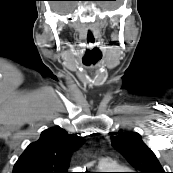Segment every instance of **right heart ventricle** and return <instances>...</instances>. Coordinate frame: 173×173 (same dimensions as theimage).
Listing matches in <instances>:
<instances>
[{
  "mask_svg": "<svg viewBox=\"0 0 173 173\" xmlns=\"http://www.w3.org/2000/svg\"><path fill=\"white\" fill-rule=\"evenodd\" d=\"M112 167H116V164L113 163L110 159H102L101 160L99 168H101V169H110ZM117 168L122 169L121 167H117Z\"/></svg>",
  "mask_w": 173,
  "mask_h": 173,
  "instance_id": "1",
  "label": "right heart ventricle"
}]
</instances>
